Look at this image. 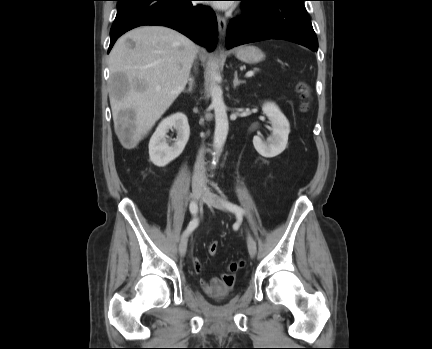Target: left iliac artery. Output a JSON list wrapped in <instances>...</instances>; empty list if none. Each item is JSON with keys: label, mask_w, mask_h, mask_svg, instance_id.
I'll list each match as a JSON object with an SVG mask.
<instances>
[{"label": "left iliac artery", "mask_w": 432, "mask_h": 349, "mask_svg": "<svg viewBox=\"0 0 432 349\" xmlns=\"http://www.w3.org/2000/svg\"><path fill=\"white\" fill-rule=\"evenodd\" d=\"M226 207L229 210H231V211H233V212H235L237 214H243L244 213L243 209L241 207H239L238 205H236V204L226 203Z\"/></svg>", "instance_id": "1"}]
</instances>
